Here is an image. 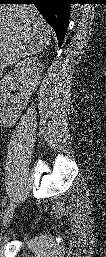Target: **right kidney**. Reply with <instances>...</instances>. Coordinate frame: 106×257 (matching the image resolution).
I'll return each instance as SVG.
<instances>
[{"label": "right kidney", "instance_id": "right-kidney-1", "mask_svg": "<svg viewBox=\"0 0 106 257\" xmlns=\"http://www.w3.org/2000/svg\"><path fill=\"white\" fill-rule=\"evenodd\" d=\"M42 73V65L37 57H27L23 61L17 63L15 68L6 74L0 81V106L6 114L18 113L27 104L29 96L40 83V75ZM15 84H20L18 95L10 101L9 90Z\"/></svg>", "mask_w": 106, "mask_h": 257}]
</instances>
